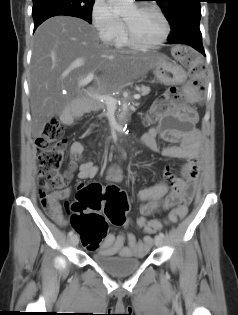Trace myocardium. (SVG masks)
<instances>
[{
  "label": "myocardium",
  "mask_w": 238,
  "mask_h": 315,
  "mask_svg": "<svg viewBox=\"0 0 238 315\" xmlns=\"http://www.w3.org/2000/svg\"><path fill=\"white\" fill-rule=\"evenodd\" d=\"M135 7L138 11L149 10V11L156 13L163 22L164 33H163L162 37L154 43H143V42H141L135 38L130 24L124 20L125 35H126V39L129 43V45L133 48L140 49V50L154 49V48L161 46L163 43L166 42V40L168 39L170 32H171L170 23H169L166 15L163 13V11L160 8H158L157 6H154V5L140 4V5H137Z\"/></svg>",
  "instance_id": "obj_1"
}]
</instances>
